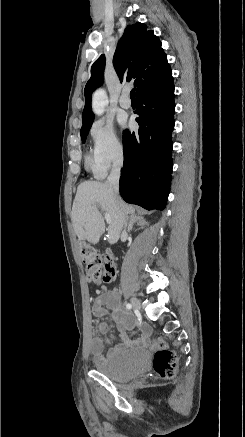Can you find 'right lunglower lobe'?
<instances>
[{"label": "right lung lower lobe", "instance_id": "1", "mask_svg": "<svg viewBox=\"0 0 245 437\" xmlns=\"http://www.w3.org/2000/svg\"><path fill=\"white\" fill-rule=\"evenodd\" d=\"M138 132H123L120 194L147 210H163L170 191L174 129L173 81L136 96Z\"/></svg>", "mask_w": 245, "mask_h": 437}]
</instances>
